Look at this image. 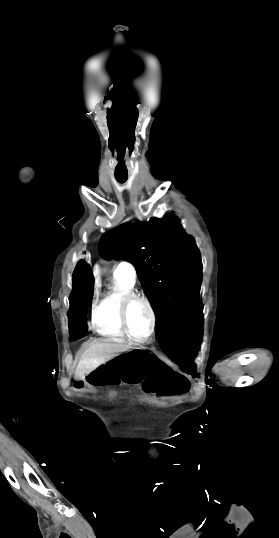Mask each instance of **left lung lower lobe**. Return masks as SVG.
<instances>
[{
    "label": "left lung lower lobe",
    "instance_id": "1",
    "mask_svg": "<svg viewBox=\"0 0 279 538\" xmlns=\"http://www.w3.org/2000/svg\"><path fill=\"white\" fill-rule=\"evenodd\" d=\"M203 321L181 332H156L163 352L186 373L196 376L193 361L202 339Z\"/></svg>",
    "mask_w": 279,
    "mask_h": 538
}]
</instances>
